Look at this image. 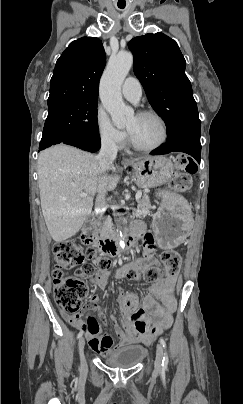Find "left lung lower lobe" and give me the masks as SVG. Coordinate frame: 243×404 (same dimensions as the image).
<instances>
[{
    "label": "left lung lower lobe",
    "instance_id": "obj_1",
    "mask_svg": "<svg viewBox=\"0 0 243 404\" xmlns=\"http://www.w3.org/2000/svg\"><path fill=\"white\" fill-rule=\"evenodd\" d=\"M201 126L182 125L172 130L167 142L151 152L152 155L167 154L169 152H184L200 163Z\"/></svg>",
    "mask_w": 243,
    "mask_h": 404
}]
</instances>
